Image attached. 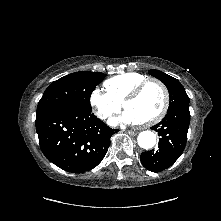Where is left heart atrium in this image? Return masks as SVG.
Listing matches in <instances>:
<instances>
[{
  "label": "left heart atrium",
  "mask_w": 221,
  "mask_h": 221,
  "mask_svg": "<svg viewBox=\"0 0 221 221\" xmlns=\"http://www.w3.org/2000/svg\"><path fill=\"white\" fill-rule=\"evenodd\" d=\"M119 122H123V123H126V124H134V123H136V121L133 118V116L131 115V113L126 111V110L122 113V115L120 117L112 118L110 120L111 124H117Z\"/></svg>",
  "instance_id": "obj_1"
}]
</instances>
